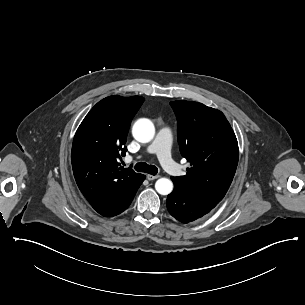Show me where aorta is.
<instances>
[{
  "label": "aorta",
  "instance_id": "1",
  "mask_svg": "<svg viewBox=\"0 0 305 305\" xmlns=\"http://www.w3.org/2000/svg\"><path fill=\"white\" fill-rule=\"evenodd\" d=\"M132 134L138 142L147 143L153 139L155 128L149 119H139L133 125ZM155 189L161 195H168L173 190V183L167 178H160L155 183Z\"/></svg>",
  "mask_w": 305,
  "mask_h": 305
}]
</instances>
